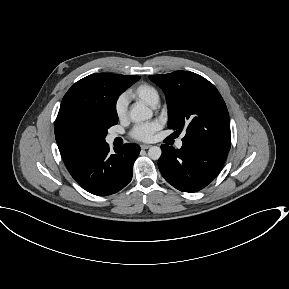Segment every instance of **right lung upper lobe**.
Wrapping results in <instances>:
<instances>
[{"mask_svg":"<svg viewBox=\"0 0 289 289\" xmlns=\"http://www.w3.org/2000/svg\"><path fill=\"white\" fill-rule=\"evenodd\" d=\"M134 78L140 77L97 73L77 81L67 91L55 121L56 142L67 168L76 165L87 154L78 151L71 143L73 124L90 121L101 110L102 102L116 83Z\"/></svg>","mask_w":289,"mask_h":289,"instance_id":"obj_1","label":"right lung upper lobe"}]
</instances>
